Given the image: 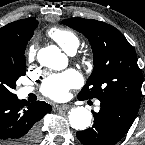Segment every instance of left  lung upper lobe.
I'll return each mask as SVG.
<instances>
[{
  "instance_id": "5c2ea615",
  "label": "left lung upper lobe",
  "mask_w": 145,
  "mask_h": 145,
  "mask_svg": "<svg viewBox=\"0 0 145 145\" xmlns=\"http://www.w3.org/2000/svg\"><path fill=\"white\" fill-rule=\"evenodd\" d=\"M63 23L83 33L93 49L94 69L79 97L119 102L138 109L142 74L135 51L124 35L97 20L70 18Z\"/></svg>"
}]
</instances>
